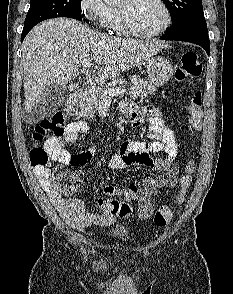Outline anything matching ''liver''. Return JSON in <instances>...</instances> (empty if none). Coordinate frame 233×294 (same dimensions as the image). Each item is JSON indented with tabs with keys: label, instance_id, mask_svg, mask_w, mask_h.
<instances>
[{
	"label": "liver",
	"instance_id": "1",
	"mask_svg": "<svg viewBox=\"0 0 233 294\" xmlns=\"http://www.w3.org/2000/svg\"><path fill=\"white\" fill-rule=\"evenodd\" d=\"M165 45L112 37L78 21L52 19L34 27L22 45L25 109L35 108L47 86L66 88L84 59L98 65L100 79L114 78L156 55Z\"/></svg>",
	"mask_w": 233,
	"mask_h": 294
}]
</instances>
